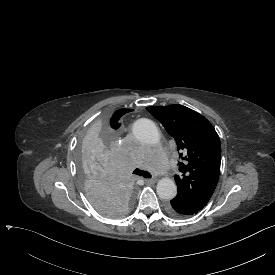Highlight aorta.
<instances>
[{"label": "aorta", "mask_w": 275, "mask_h": 275, "mask_svg": "<svg viewBox=\"0 0 275 275\" xmlns=\"http://www.w3.org/2000/svg\"><path fill=\"white\" fill-rule=\"evenodd\" d=\"M133 134L138 140L148 144H155L160 140V134L155 123L146 118L135 121ZM156 191L161 199L171 200L177 195V186L170 178H162L157 183Z\"/></svg>", "instance_id": "762f6f07"}]
</instances>
